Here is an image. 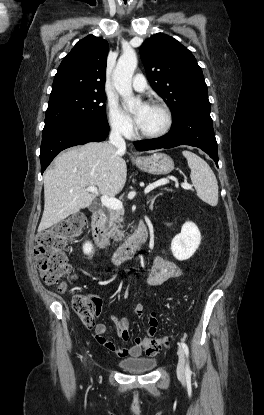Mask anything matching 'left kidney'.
<instances>
[{
	"label": "left kidney",
	"instance_id": "left-kidney-1",
	"mask_svg": "<svg viewBox=\"0 0 264 415\" xmlns=\"http://www.w3.org/2000/svg\"><path fill=\"white\" fill-rule=\"evenodd\" d=\"M201 243V233L193 222H186L181 228V233L176 235L171 242V251L177 260H187L198 249Z\"/></svg>",
	"mask_w": 264,
	"mask_h": 415
}]
</instances>
